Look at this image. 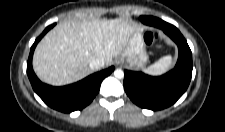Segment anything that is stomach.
Instances as JSON below:
<instances>
[{
  "mask_svg": "<svg viewBox=\"0 0 225 132\" xmlns=\"http://www.w3.org/2000/svg\"><path fill=\"white\" fill-rule=\"evenodd\" d=\"M118 61L130 69H142L148 62V54L141 30H137L129 39Z\"/></svg>",
  "mask_w": 225,
  "mask_h": 132,
  "instance_id": "obj_1",
  "label": "stomach"
}]
</instances>
